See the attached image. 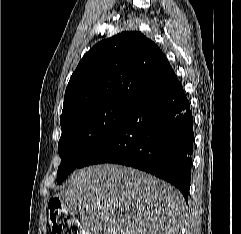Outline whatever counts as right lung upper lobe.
<instances>
[{"mask_svg": "<svg viewBox=\"0 0 241 234\" xmlns=\"http://www.w3.org/2000/svg\"><path fill=\"white\" fill-rule=\"evenodd\" d=\"M172 72L152 40L137 31L119 33L97 43L83 56L66 88L60 120L95 104H133Z\"/></svg>", "mask_w": 241, "mask_h": 234, "instance_id": "cb5924a9", "label": "right lung upper lobe"}]
</instances>
